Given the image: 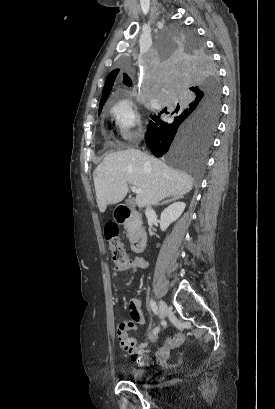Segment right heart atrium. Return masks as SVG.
Segmentation results:
<instances>
[{"label":"right heart atrium","mask_w":275,"mask_h":409,"mask_svg":"<svg viewBox=\"0 0 275 409\" xmlns=\"http://www.w3.org/2000/svg\"><path fill=\"white\" fill-rule=\"evenodd\" d=\"M114 118L120 135L118 143H138L142 126L137 106L130 100L120 102L114 108Z\"/></svg>","instance_id":"obj_1"}]
</instances>
